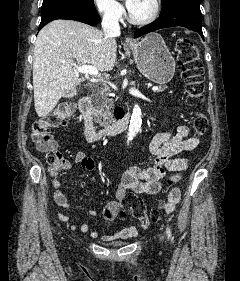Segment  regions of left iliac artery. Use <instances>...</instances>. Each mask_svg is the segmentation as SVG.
Listing matches in <instances>:
<instances>
[{"instance_id": "1", "label": "left iliac artery", "mask_w": 240, "mask_h": 281, "mask_svg": "<svg viewBox=\"0 0 240 281\" xmlns=\"http://www.w3.org/2000/svg\"><path fill=\"white\" fill-rule=\"evenodd\" d=\"M167 235H168V238H170V237H171V231H170V229H169V228H167Z\"/></svg>"}]
</instances>
